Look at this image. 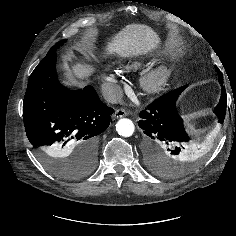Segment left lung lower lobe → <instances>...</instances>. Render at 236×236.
Instances as JSON below:
<instances>
[{
  "mask_svg": "<svg viewBox=\"0 0 236 236\" xmlns=\"http://www.w3.org/2000/svg\"><path fill=\"white\" fill-rule=\"evenodd\" d=\"M215 68L222 86L221 72L217 67ZM186 87L187 85L168 92L139 114L141 118L139 127L143 129L147 148V162L153 168H162L167 161V156L176 159L191 153L188 146L190 137L176 111V101ZM226 104V91L222 86L220 101L214 109L220 123H223L225 118Z\"/></svg>",
  "mask_w": 236,
  "mask_h": 236,
  "instance_id": "obj_1",
  "label": "left lung lower lobe"
}]
</instances>
